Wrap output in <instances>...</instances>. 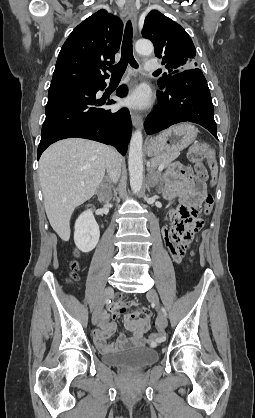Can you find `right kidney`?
I'll return each mask as SVG.
<instances>
[{
	"mask_svg": "<svg viewBox=\"0 0 255 418\" xmlns=\"http://www.w3.org/2000/svg\"><path fill=\"white\" fill-rule=\"evenodd\" d=\"M100 237V230L91 210L83 212L75 223L74 242L77 248L88 253L92 251Z\"/></svg>",
	"mask_w": 255,
	"mask_h": 418,
	"instance_id": "1",
	"label": "right kidney"
}]
</instances>
